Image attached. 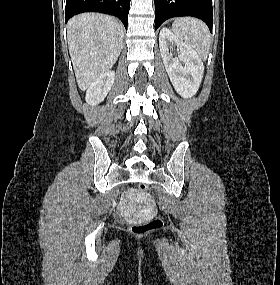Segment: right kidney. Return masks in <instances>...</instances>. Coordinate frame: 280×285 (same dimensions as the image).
<instances>
[{
  "label": "right kidney",
  "instance_id": "right-kidney-1",
  "mask_svg": "<svg viewBox=\"0 0 280 285\" xmlns=\"http://www.w3.org/2000/svg\"><path fill=\"white\" fill-rule=\"evenodd\" d=\"M114 79V71H107L98 77L87 89L86 102L92 106L102 102L113 86Z\"/></svg>",
  "mask_w": 280,
  "mask_h": 285
}]
</instances>
